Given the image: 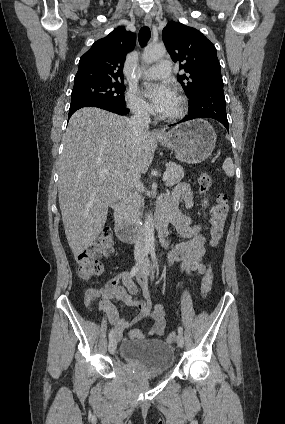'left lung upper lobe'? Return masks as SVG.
Wrapping results in <instances>:
<instances>
[{
  "label": "left lung upper lobe",
  "mask_w": 285,
  "mask_h": 424,
  "mask_svg": "<svg viewBox=\"0 0 285 424\" xmlns=\"http://www.w3.org/2000/svg\"><path fill=\"white\" fill-rule=\"evenodd\" d=\"M162 38L172 60L180 62L179 69L187 73L178 75L177 80L190 102L205 90L223 88L216 48L201 32L170 21L163 29Z\"/></svg>",
  "instance_id": "obj_1"
}]
</instances>
